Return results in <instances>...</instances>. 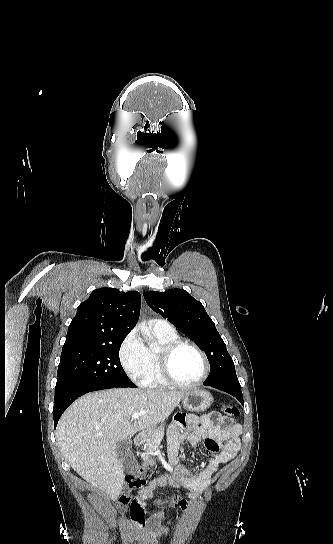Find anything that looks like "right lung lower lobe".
<instances>
[{
    "instance_id": "obj_1",
    "label": "right lung lower lobe",
    "mask_w": 333,
    "mask_h": 544,
    "mask_svg": "<svg viewBox=\"0 0 333 544\" xmlns=\"http://www.w3.org/2000/svg\"><path fill=\"white\" fill-rule=\"evenodd\" d=\"M117 386L108 385H83L78 382H57L55 388L53 418L54 425L58 423L62 413L78 397L92 391L114 388Z\"/></svg>"
}]
</instances>
